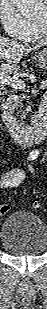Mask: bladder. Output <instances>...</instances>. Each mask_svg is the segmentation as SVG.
Here are the masks:
<instances>
[{
	"instance_id": "31cf9c89",
	"label": "bladder",
	"mask_w": 47,
	"mask_h": 309,
	"mask_svg": "<svg viewBox=\"0 0 47 309\" xmlns=\"http://www.w3.org/2000/svg\"><path fill=\"white\" fill-rule=\"evenodd\" d=\"M1 245L4 250L14 256L41 255L47 247L46 226L33 213L14 212L3 222Z\"/></svg>"
}]
</instances>
